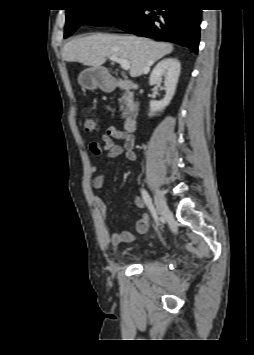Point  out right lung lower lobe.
Wrapping results in <instances>:
<instances>
[{"label": "right lung lower lobe", "instance_id": "obj_1", "mask_svg": "<svg viewBox=\"0 0 254 355\" xmlns=\"http://www.w3.org/2000/svg\"><path fill=\"white\" fill-rule=\"evenodd\" d=\"M197 2L163 0L160 3L136 4L113 25L135 35L183 44L197 53L201 23V9ZM152 7L165 8L153 10Z\"/></svg>", "mask_w": 254, "mask_h": 355}]
</instances>
